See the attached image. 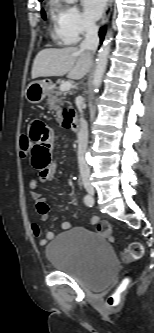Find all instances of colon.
<instances>
[{
  "label": "colon",
  "instance_id": "5ec220e1",
  "mask_svg": "<svg viewBox=\"0 0 154 333\" xmlns=\"http://www.w3.org/2000/svg\"><path fill=\"white\" fill-rule=\"evenodd\" d=\"M31 151V140L28 135H22L20 139V153L22 158H28ZM96 231L103 235L106 239L112 241L113 234L111 226L106 221H101L97 224ZM144 248L139 242H132L123 253V258L126 260H137L143 256ZM107 302L110 306H115L119 302V294H114L108 297Z\"/></svg>",
  "mask_w": 154,
  "mask_h": 333
}]
</instances>
